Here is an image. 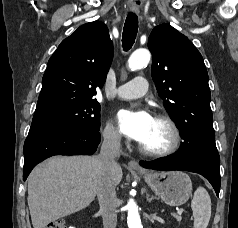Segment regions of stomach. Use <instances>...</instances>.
I'll list each match as a JSON object with an SVG mask.
<instances>
[{"mask_svg": "<svg viewBox=\"0 0 238 228\" xmlns=\"http://www.w3.org/2000/svg\"><path fill=\"white\" fill-rule=\"evenodd\" d=\"M146 183L170 206L185 204L192 193L189 176L181 171L140 173Z\"/></svg>", "mask_w": 238, "mask_h": 228, "instance_id": "obj_1", "label": "stomach"}]
</instances>
